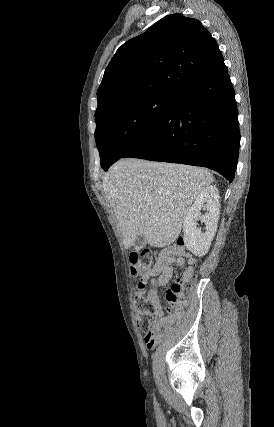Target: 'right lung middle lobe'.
<instances>
[{
    "label": "right lung middle lobe",
    "mask_w": 274,
    "mask_h": 427,
    "mask_svg": "<svg viewBox=\"0 0 274 427\" xmlns=\"http://www.w3.org/2000/svg\"><path fill=\"white\" fill-rule=\"evenodd\" d=\"M174 95L149 94L117 102L96 116V145L108 169L162 119Z\"/></svg>",
    "instance_id": "right-lung-middle-lobe-1"
}]
</instances>
